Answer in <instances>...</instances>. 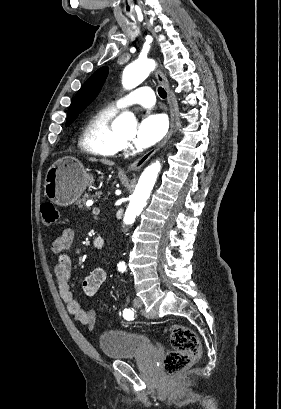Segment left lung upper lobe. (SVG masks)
<instances>
[{"mask_svg":"<svg viewBox=\"0 0 281 409\" xmlns=\"http://www.w3.org/2000/svg\"><path fill=\"white\" fill-rule=\"evenodd\" d=\"M108 74V68L102 67L94 72L75 95L69 109L66 126L70 125L98 95Z\"/></svg>","mask_w":281,"mask_h":409,"instance_id":"left-lung-upper-lobe-1","label":"left lung upper lobe"}]
</instances>
